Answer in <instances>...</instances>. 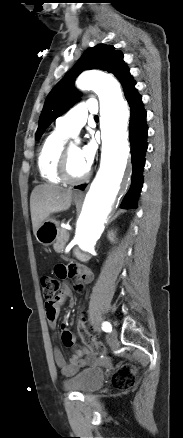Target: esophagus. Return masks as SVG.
<instances>
[{
    "label": "esophagus",
    "mask_w": 183,
    "mask_h": 438,
    "mask_svg": "<svg viewBox=\"0 0 183 438\" xmlns=\"http://www.w3.org/2000/svg\"><path fill=\"white\" fill-rule=\"evenodd\" d=\"M77 195H82V192H78Z\"/></svg>",
    "instance_id": "1"
}]
</instances>
